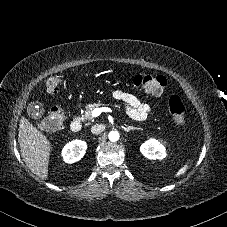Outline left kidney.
<instances>
[{"label":"left kidney","instance_id":"1","mask_svg":"<svg viewBox=\"0 0 227 227\" xmlns=\"http://www.w3.org/2000/svg\"><path fill=\"white\" fill-rule=\"evenodd\" d=\"M141 153L148 159H163L166 157L165 147L156 139H149L140 147Z\"/></svg>","mask_w":227,"mask_h":227}]
</instances>
